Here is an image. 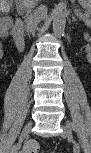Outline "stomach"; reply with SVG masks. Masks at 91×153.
Returning <instances> with one entry per match:
<instances>
[{
	"label": "stomach",
	"instance_id": "obj_1",
	"mask_svg": "<svg viewBox=\"0 0 91 153\" xmlns=\"http://www.w3.org/2000/svg\"><path fill=\"white\" fill-rule=\"evenodd\" d=\"M80 4L84 6L88 11L91 7V1L90 0H79Z\"/></svg>",
	"mask_w": 91,
	"mask_h": 153
}]
</instances>
